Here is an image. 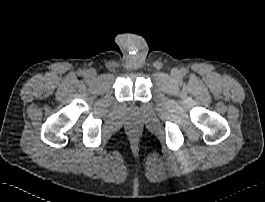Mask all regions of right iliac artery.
<instances>
[{
  "label": "right iliac artery",
  "mask_w": 265,
  "mask_h": 202,
  "mask_svg": "<svg viewBox=\"0 0 265 202\" xmlns=\"http://www.w3.org/2000/svg\"><path fill=\"white\" fill-rule=\"evenodd\" d=\"M83 74H84L86 77L89 75V74H88V73H86V72H84Z\"/></svg>",
  "instance_id": "1"
}]
</instances>
